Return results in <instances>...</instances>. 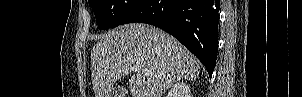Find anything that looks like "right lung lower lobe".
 Here are the masks:
<instances>
[{
  "label": "right lung lower lobe",
  "mask_w": 302,
  "mask_h": 97,
  "mask_svg": "<svg viewBox=\"0 0 302 97\" xmlns=\"http://www.w3.org/2000/svg\"><path fill=\"white\" fill-rule=\"evenodd\" d=\"M220 0H143L122 24L155 25L185 45L212 76L217 58Z\"/></svg>",
  "instance_id": "98d812e1"
}]
</instances>
